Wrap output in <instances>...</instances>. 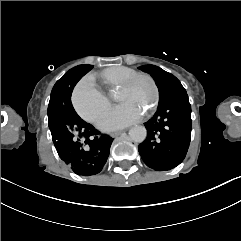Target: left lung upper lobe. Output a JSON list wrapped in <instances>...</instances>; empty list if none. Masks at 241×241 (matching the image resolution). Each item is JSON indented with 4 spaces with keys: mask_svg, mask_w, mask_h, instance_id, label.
<instances>
[{
    "mask_svg": "<svg viewBox=\"0 0 241 241\" xmlns=\"http://www.w3.org/2000/svg\"><path fill=\"white\" fill-rule=\"evenodd\" d=\"M139 68L154 78L159 90V102L167 99L173 93L186 91L175 76L157 66L145 65Z\"/></svg>",
    "mask_w": 241,
    "mask_h": 241,
    "instance_id": "left-lung-upper-lobe-1",
    "label": "left lung upper lobe"
}]
</instances>
